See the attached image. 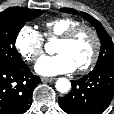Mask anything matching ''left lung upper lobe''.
Listing matches in <instances>:
<instances>
[{
    "label": "left lung upper lobe",
    "mask_w": 114,
    "mask_h": 114,
    "mask_svg": "<svg viewBox=\"0 0 114 114\" xmlns=\"http://www.w3.org/2000/svg\"><path fill=\"white\" fill-rule=\"evenodd\" d=\"M60 11L70 14H78L76 10L70 8H62ZM80 14L84 19L89 21L94 26L101 41V50L94 69L114 67V44L112 39L109 37L108 33L98 20L87 13L80 12Z\"/></svg>",
    "instance_id": "1"
}]
</instances>
